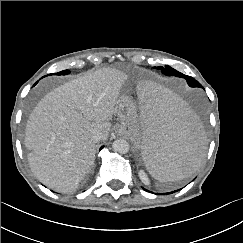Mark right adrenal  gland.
<instances>
[{
	"label": "right adrenal gland",
	"instance_id": "right-adrenal-gland-1",
	"mask_svg": "<svg viewBox=\"0 0 243 243\" xmlns=\"http://www.w3.org/2000/svg\"><path fill=\"white\" fill-rule=\"evenodd\" d=\"M94 169H95V167L92 168L91 173H93Z\"/></svg>",
	"mask_w": 243,
	"mask_h": 243
}]
</instances>
